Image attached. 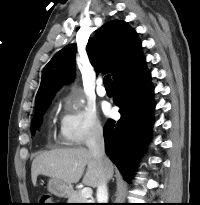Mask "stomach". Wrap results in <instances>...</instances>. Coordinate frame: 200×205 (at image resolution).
Wrapping results in <instances>:
<instances>
[{"label":"stomach","instance_id":"stomach-1","mask_svg":"<svg viewBox=\"0 0 200 205\" xmlns=\"http://www.w3.org/2000/svg\"><path fill=\"white\" fill-rule=\"evenodd\" d=\"M48 190L57 197H69L72 192V185L57 178H50L48 181Z\"/></svg>","mask_w":200,"mask_h":205}]
</instances>
